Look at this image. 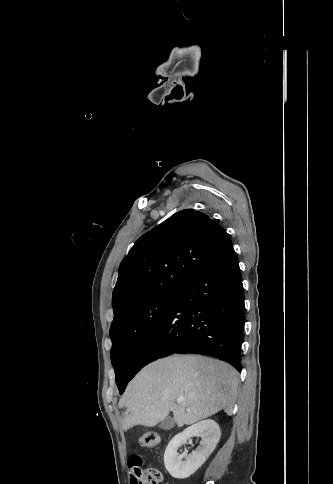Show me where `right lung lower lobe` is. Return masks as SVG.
Masks as SVG:
<instances>
[{"mask_svg": "<svg viewBox=\"0 0 333 484\" xmlns=\"http://www.w3.org/2000/svg\"><path fill=\"white\" fill-rule=\"evenodd\" d=\"M243 328V285L232 246L179 290L140 348L129 380L148 363L176 353L217 357L241 372Z\"/></svg>", "mask_w": 333, "mask_h": 484, "instance_id": "98d812e1", "label": "right lung lower lobe"}]
</instances>
